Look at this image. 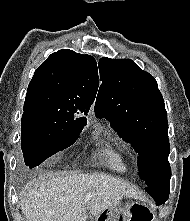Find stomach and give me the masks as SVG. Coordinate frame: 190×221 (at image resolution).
Returning <instances> with one entry per match:
<instances>
[{"instance_id":"0dacf381","label":"stomach","mask_w":190,"mask_h":221,"mask_svg":"<svg viewBox=\"0 0 190 221\" xmlns=\"http://www.w3.org/2000/svg\"><path fill=\"white\" fill-rule=\"evenodd\" d=\"M153 209L147 204V200H119V205L102 211L95 221H153Z\"/></svg>"}]
</instances>
